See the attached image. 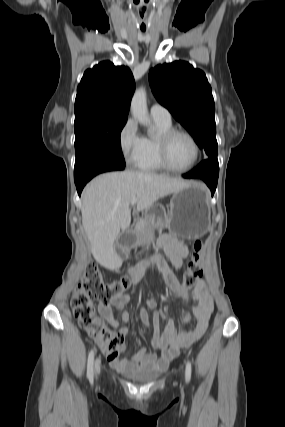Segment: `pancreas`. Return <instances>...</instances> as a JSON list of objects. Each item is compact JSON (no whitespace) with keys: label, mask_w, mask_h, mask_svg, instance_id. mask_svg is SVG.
<instances>
[{"label":"pancreas","mask_w":285,"mask_h":427,"mask_svg":"<svg viewBox=\"0 0 285 427\" xmlns=\"http://www.w3.org/2000/svg\"><path fill=\"white\" fill-rule=\"evenodd\" d=\"M153 227L154 222L146 215L145 218H142L137 222L135 226V236L140 238L145 232L152 230Z\"/></svg>","instance_id":"obj_1"}]
</instances>
